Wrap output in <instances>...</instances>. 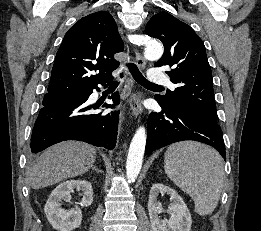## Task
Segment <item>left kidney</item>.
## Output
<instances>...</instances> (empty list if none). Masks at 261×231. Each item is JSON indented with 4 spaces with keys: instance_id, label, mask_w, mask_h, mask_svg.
I'll return each mask as SVG.
<instances>
[{
    "instance_id": "1",
    "label": "left kidney",
    "mask_w": 261,
    "mask_h": 231,
    "mask_svg": "<svg viewBox=\"0 0 261 231\" xmlns=\"http://www.w3.org/2000/svg\"><path fill=\"white\" fill-rule=\"evenodd\" d=\"M159 194L170 195L171 203L168 207L167 213L170 215L169 219H160L159 214L163 212L162 204L158 201ZM148 212L151 222L152 231H190L192 218L191 214L178 193L164 184H154L151 187Z\"/></svg>"
}]
</instances>
